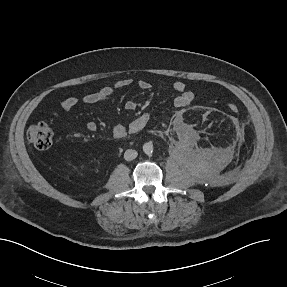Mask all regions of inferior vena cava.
I'll return each instance as SVG.
<instances>
[{
    "instance_id": "1",
    "label": "inferior vena cava",
    "mask_w": 287,
    "mask_h": 287,
    "mask_svg": "<svg viewBox=\"0 0 287 287\" xmlns=\"http://www.w3.org/2000/svg\"><path fill=\"white\" fill-rule=\"evenodd\" d=\"M138 153L136 150L128 149L124 153V158L127 161H131L137 157Z\"/></svg>"
}]
</instances>
